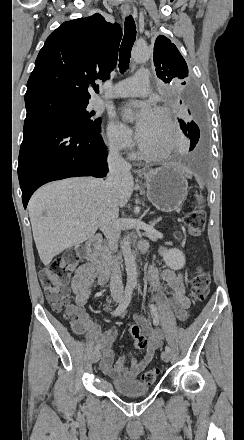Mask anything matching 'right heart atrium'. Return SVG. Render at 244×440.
Masks as SVG:
<instances>
[{
  "label": "right heart atrium",
  "instance_id": "1",
  "mask_svg": "<svg viewBox=\"0 0 244 440\" xmlns=\"http://www.w3.org/2000/svg\"><path fill=\"white\" fill-rule=\"evenodd\" d=\"M140 140V136L124 124L111 119L107 125L106 143L113 150L132 147Z\"/></svg>",
  "mask_w": 244,
  "mask_h": 440
}]
</instances>
